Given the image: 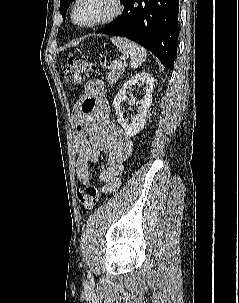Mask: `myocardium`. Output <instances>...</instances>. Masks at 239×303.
<instances>
[{
	"mask_svg": "<svg viewBox=\"0 0 239 303\" xmlns=\"http://www.w3.org/2000/svg\"><path fill=\"white\" fill-rule=\"evenodd\" d=\"M80 1L81 0L74 1L72 8H71V19L75 25H77L78 27H81V28H93L96 26L111 23L112 21L116 20L124 11V4H123L122 0H111V2L113 4V9L109 14H107L104 17L99 18L95 21L82 24L76 20V9H77V6L80 3Z\"/></svg>",
	"mask_w": 239,
	"mask_h": 303,
	"instance_id": "f54148a6",
	"label": "myocardium"
}]
</instances>
